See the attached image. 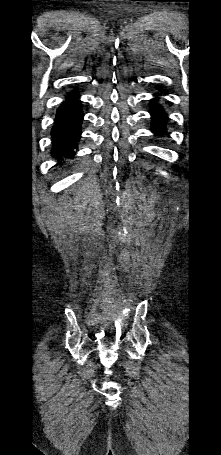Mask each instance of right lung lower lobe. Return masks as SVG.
Segmentation results:
<instances>
[{"mask_svg":"<svg viewBox=\"0 0 221 455\" xmlns=\"http://www.w3.org/2000/svg\"><path fill=\"white\" fill-rule=\"evenodd\" d=\"M83 111L78 91L74 90L66 96V100L56 111V118L51 130V155L64 163L65 159L73 158L77 151L82 133Z\"/></svg>","mask_w":221,"mask_h":455,"instance_id":"98d812e1","label":"right lung lower lobe"}]
</instances>
